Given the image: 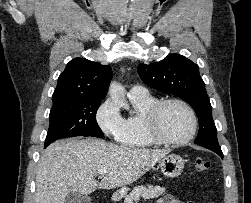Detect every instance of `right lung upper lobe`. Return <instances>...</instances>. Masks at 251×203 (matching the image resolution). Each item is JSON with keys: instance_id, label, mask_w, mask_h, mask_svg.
Masks as SVG:
<instances>
[{"instance_id": "obj_1", "label": "right lung upper lobe", "mask_w": 251, "mask_h": 203, "mask_svg": "<svg viewBox=\"0 0 251 203\" xmlns=\"http://www.w3.org/2000/svg\"><path fill=\"white\" fill-rule=\"evenodd\" d=\"M112 78L109 65L85 58L71 60L58 78L53 107L78 100H102Z\"/></svg>"}]
</instances>
